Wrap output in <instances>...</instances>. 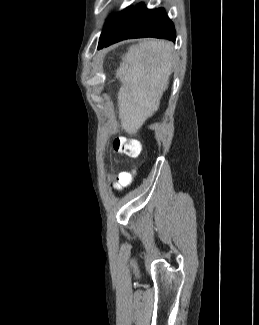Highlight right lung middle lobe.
Returning <instances> with one entry per match:
<instances>
[{"instance_id": "dd1d6c3e", "label": "right lung middle lobe", "mask_w": 259, "mask_h": 325, "mask_svg": "<svg viewBox=\"0 0 259 325\" xmlns=\"http://www.w3.org/2000/svg\"><path fill=\"white\" fill-rule=\"evenodd\" d=\"M128 10H129V7L118 12L117 14H115L108 20V22L106 23V25L102 31V34L100 36L99 43H102L103 41H105L106 39H108L110 37V35L114 32V30L116 29V27L118 26L120 21L123 19V17L125 16V14L127 13Z\"/></svg>"}]
</instances>
